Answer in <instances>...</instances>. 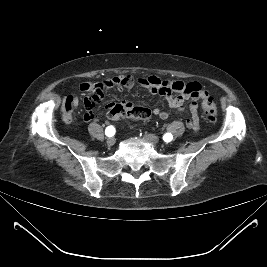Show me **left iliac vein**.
<instances>
[{
	"instance_id": "obj_1",
	"label": "left iliac vein",
	"mask_w": 267,
	"mask_h": 267,
	"mask_svg": "<svg viewBox=\"0 0 267 267\" xmlns=\"http://www.w3.org/2000/svg\"><path fill=\"white\" fill-rule=\"evenodd\" d=\"M144 137L147 141H149L152 144L156 145L159 143V138L153 134H145Z\"/></svg>"
}]
</instances>
